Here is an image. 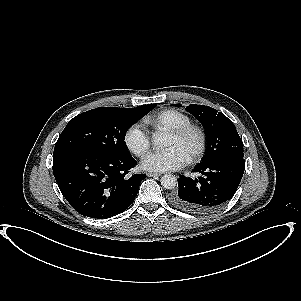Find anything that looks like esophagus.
Returning <instances> with one entry per match:
<instances>
[{
    "label": "esophagus",
    "instance_id": "esophagus-1",
    "mask_svg": "<svg viewBox=\"0 0 301 301\" xmlns=\"http://www.w3.org/2000/svg\"><path fill=\"white\" fill-rule=\"evenodd\" d=\"M161 174H159V173H147V176L148 177H158V176H160Z\"/></svg>",
    "mask_w": 301,
    "mask_h": 301
}]
</instances>
